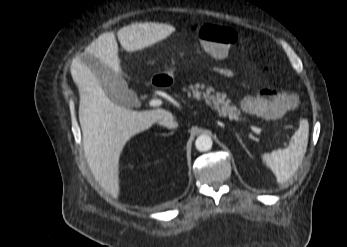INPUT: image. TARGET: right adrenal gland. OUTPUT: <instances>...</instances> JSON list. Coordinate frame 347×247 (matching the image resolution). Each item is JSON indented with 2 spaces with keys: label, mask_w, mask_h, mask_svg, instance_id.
<instances>
[{
  "label": "right adrenal gland",
  "mask_w": 347,
  "mask_h": 247,
  "mask_svg": "<svg viewBox=\"0 0 347 247\" xmlns=\"http://www.w3.org/2000/svg\"><path fill=\"white\" fill-rule=\"evenodd\" d=\"M174 132L172 131L171 133H168V134H161V136H169V135H172Z\"/></svg>",
  "instance_id": "obj_1"
}]
</instances>
